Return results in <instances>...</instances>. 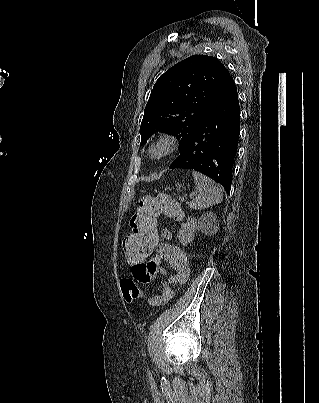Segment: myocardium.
I'll list each match as a JSON object with an SVG mask.
<instances>
[{
  "label": "myocardium",
  "mask_w": 319,
  "mask_h": 403,
  "mask_svg": "<svg viewBox=\"0 0 319 403\" xmlns=\"http://www.w3.org/2000/svg\"><path fill=\"white\" fill-rule=\"evenodd\" d=\"M177 146L176 136L170 133L162 134L150 144L148 148L149 158L155 161L165 159L176 150Z\"/></svg>",
  "instance_id": "obj_1"
}]
</instances>
